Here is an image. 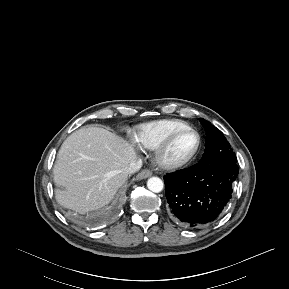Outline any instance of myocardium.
Returning a JSON list of instances; mask_svg holds the SVG:
<instances>
[{"instance_id":"f54148a6","label":"myocardium","mask_w":289,"mask_h":289,"mask_svg":"<svg viewBox=\"0 0 289 289\" xmlns=\"http://www.w3.org/2000/svg\"><path fill=\"white\" fill-rule=\"evenodd\" d=\"M185 133H193L197 137V144L195 149L186 157L181 159H172L168 157V152L175 142V140ZM202 144L201 135L199 132L191 127L178 130L171 134L163 143H161L155 151L154 162L163 170H175L181 168L192 162L200 151Z\"/></svg>"}]
</instances>
